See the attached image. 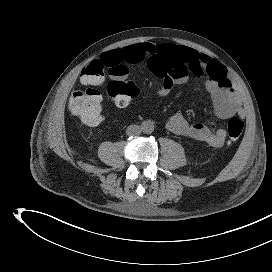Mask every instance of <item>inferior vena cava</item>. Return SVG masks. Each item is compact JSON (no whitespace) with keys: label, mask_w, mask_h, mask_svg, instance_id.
<instances>
[{"label":"inferior vena cava","mask_w":272,"mask_h":272,"mask_svg":"<svg viewBox=\"0 0 272 272\" xmlns=\"http://www.w3.org/2000/svg\"><path fill=\"white\" fill-rule=\"evenodd\" d=\"M142 132V129L138 125H130L127 127V135H139Z\"/></svg>","instance_id":"inferior-vena-cava-1"}]
</instances>
